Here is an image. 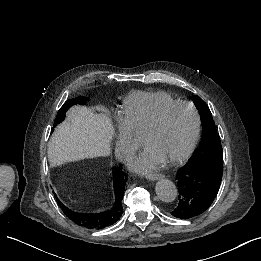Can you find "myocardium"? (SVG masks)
Instances as JSON below:
<instances>
[{
    "instance_id": "myocardium-1",
    "label": "myocardium",
    "mask_w": 261,
    "mask_h": 261,
    "mask_svg": "<svg viewBox=\"0 0 261 261\" xmlns=\"http://www.w3.org/2000/svg\"><path fill=\"white\" fill-rule=\"evenodd\" d=\"M174 106L184 107L192 112V114L194 116V120H195L194 129H193V132L191 134L189 141L187 142V144L184 146V148L180 152H178L177 154L171 155L165 159H161L164 164H172V163L183 160L195 146V144L198 140V137L200 135L201 125H202V118H201V115H200L198 109L196 107H194L191 103L176 100V101H172V102H168V103L164 104L157 111H155L149 115L142 116L137 122V126L140 124H144L152 119H155L163 111L167 110L170 107H174Z\"/></svg>"
}]
</instances>
